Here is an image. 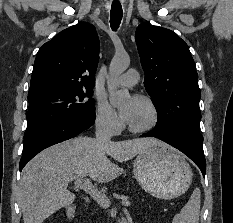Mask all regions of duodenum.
<instances>
[{"label":"duodenum","instance_id":"1","mask_svg":"<svg viewBox=\"0 0 233 223\" xmlns=\"http://www.w3.org/2000/svg\"><path fill=\"white\" fill-rule=\"evenodd\" d=\"M76 210H77V207L76 205L72 204V205H69L67 208H66V215L69 219H73L76 215ZM120 223H127L126 220H122Z\"/></svg>","mask_w":233,"mask_h":223}]
</instances>
